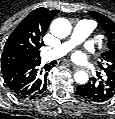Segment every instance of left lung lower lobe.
Listing matches in <instances>:
<instances>
[{
  "label": "left lung lower lobe",
  "instance_id": "1",
  "mask_svg": "<svg viewBox=\"0 0 115 119\" xmlns=\"http://www.w3.org/2000/svg\"><path fill=\"white\" fill-rule=\"evenodd\" d=\"M76 92L81 97L96 101L104 102L111 99L115 95V78L107 76L105 80L87 83L86 85H79Z\"/></svg>",
  "mask_w": 115,
  "mask_h": 119
}]
</instances>
